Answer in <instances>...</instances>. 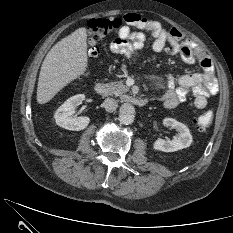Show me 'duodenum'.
<instances>
[{"mask_svg": "<svg viewBox=\"0 0 233 233\" xmlns=\"http://www.w3.org/2000/svg\"><path fill=\"white\" fill-rule=\"evenodd\" d=\"M95 92L99 95V96H107L108 95V88L106 86L105 83L102 82H98L95 87ZM124 101L130 104H133L135 106H139V107H143L147 104V100L143 99V98H139L136 96H132V95H125L123 97Z\"/></svg>", "mask_w": 233, "mask_h": 233, "instance_id": "obj_1", "label": "duodenum"}]
</instances>
